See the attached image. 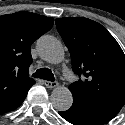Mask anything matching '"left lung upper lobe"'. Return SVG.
<instances>
[{
    "label": "left lung upper lobe",
    "instance_id": "1",
    "mask_svg": "<svg viewBox=\"0 0 125 125\" xmlns=\"http://www.w3.org/2000/svg\"><path fill=\"white\" fill-rule=\"evenodd\" d=\"M56 27L69 49L73 71L85 78L72 83L73 103L125 104V55L114 37L87 18H57Z\"/></svg>",
    "mask_w": 125,
    "mask_h": 125
}]
</instances>
